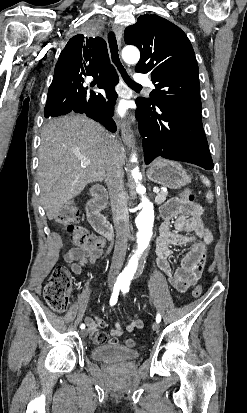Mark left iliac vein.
<instances>
[{
	"instance_id": "1",
	"label": "left iliac vein",
	"mask_w": 247,
	"mask_h": 413,
	"mask_svg": "<svg viewBox=\"0 0 247 413\" xmlns=\"http://www.w3.org/2000/svg\"><path fill=\"white\" fill-rule=\"evenodd\" d=\"M153 330L158 331L160 329V325L158 322H154L152 325Z\"/></svg>"
}]
</instances>
